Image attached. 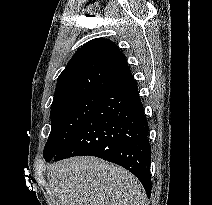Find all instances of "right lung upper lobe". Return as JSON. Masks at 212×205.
Wrapping results in <instances>:
<instances>
[{
    "label": "right lung upper lobe",
    "instance_id": "1",
    "mask_svg": "<svg viewBox=\"0 0 212 205\" xmlns=\"http://www.w3.org/2000/svg\"><path fill=\"white\" fill-rule=\"evenodd\" d=\"M128 72L124 54L112 41L93 39L77 50L59 75L51 108L77 97L103 93Z\"/></svg>",
    "mask_w": 212,
    "mask_h": 205
}]
</instances>
